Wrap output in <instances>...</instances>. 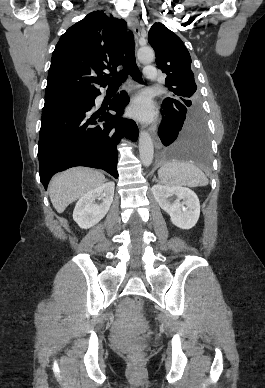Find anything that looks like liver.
I'll list each match as a JSON object with an SVG mask.
<instances>
[{"label": "liver", "mask_w": 265, "mask_h": 388, "mask_svg": "<svg viewBox=\"0 0 265 388\" xmlns=\"http://www.w3.org/2000/svg\"><path fill=\"white\" fill-rule=\"evenodd\" d=\"M106 182L105 176L90 168H71L52 178L48 188L50 200L58 214H62L69 204L99 188Z\"/></svg>", "instance_id": "liver-1"}]
</instances>
